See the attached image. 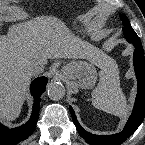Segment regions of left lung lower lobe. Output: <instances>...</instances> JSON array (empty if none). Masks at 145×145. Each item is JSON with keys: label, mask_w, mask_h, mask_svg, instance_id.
<instances>
[{"label": "left lung lower lobe", "mask_w": 145, "mask_h": 145, "mask_svg": "<svg viewBox=\"0 0 145 145\" xmlns=\"http://www.w3.org/2000/svg\"><path fill=\"white\" fill-rule=\"evenodd\" d=\"M124 31V30H123ZM130 43V42H129ZM135 47L133 64L137 77V96L133 112L124 129L114 135H94L85 131L78 123L72 107H70L73 122L82 138L91 145H120L140 126L145 116V57L141 44L132 43Z\"/></svg>", "instance_id": "0a47b994"}]
</instances>
